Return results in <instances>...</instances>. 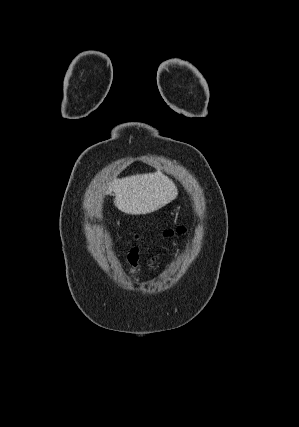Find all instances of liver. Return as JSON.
Instances as JSON below:
<instances>
[{"mask_svg": "<svg viewBox=\"0 0 299 427\" xmlns=\"http://www.w3.org/2000/svg\"><path fill=\"white\" fill-rule=\"evenodd\" d=\"M108 190L115 194V206L131 215L152 213L178 195L173 181L161 172L114 179L109 183Z\"/></svg>", "mask_w": 299, "mask_h": 427, "instance_id": "1", "label": "liver"}]
</instances>
